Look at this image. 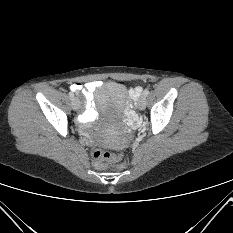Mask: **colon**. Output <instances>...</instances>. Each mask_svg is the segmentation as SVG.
<instances>
[{"label":"colon","instance_id":"1","mask_svg":"<svg viewBox=\"0 0 233 233\" xmlns=\"http://www.w3.org/2000/svg\"><path fill=\"white\" fill-rule=\"evenodd\" d=\"M92 155L97 167H102L104 162H118L123 157L122 153L114 154L99 148H94Z\"/></svg>","mask_w":233,"mask_h":233}]
</instances>
